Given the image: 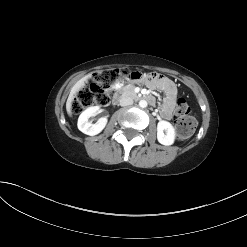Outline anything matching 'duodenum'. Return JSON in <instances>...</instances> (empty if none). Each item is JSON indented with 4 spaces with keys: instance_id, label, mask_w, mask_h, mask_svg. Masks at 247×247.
I'll use <instances>...</instances> for the list:
<instances>
[{
    "instance_id": "410a0bca",
    "label": "duodenum",
    "mask_w": 247,
    "mask_h": 247,
    "mask_svg": "<svg viewBox=\"0 0 247 247\" xmlns=\"http://www.w3.org/2000/svg\"><path fill=\"white\" fill-rule=\"evenodd\" d=\"M121 96H122L121 92H116L115 93L114 100L112 101V104H113L114 107L118 106V102H119V99L121 98ZM137 97L139 99H141V100H145L146 102H148L150 104H153L155 102L154 98L151 95H138ZM132 98H135V97L132 96ZM135 99L137 100V98H135Z\"/></svg>"
}]
</instances>
